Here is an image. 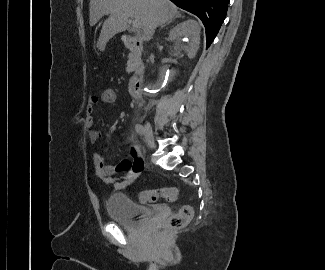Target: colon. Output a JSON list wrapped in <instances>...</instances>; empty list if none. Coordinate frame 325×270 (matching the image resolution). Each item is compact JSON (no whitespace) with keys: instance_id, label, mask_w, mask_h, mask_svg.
Listing matches in <instances>:
<instances>
[{"instance_id":"5ec220e1","label":"colon","mask_w":325,"mask_h":270,"mask_svg":"<svg viewBox=\"0 0 325 270\" xmlns=\"http://www.w3.org/2000/svg\"><path fill=\"white\" fill-rule=\"evenodd\" d=\"M104 104L111 105L117 100L116 92L111 88H106L102 91L100 96ZM178 197V191L174 187H165L156 190H146L139 194V200L142 203L155 202L159 198H164L169 202H173ZM193 208L189 204L180 207L179 211L169 217L164 223L157 227V231L176 230L183 228L192 218Z\"/></svg>"}]
</instances>
